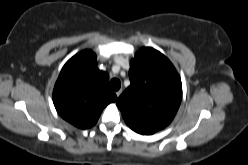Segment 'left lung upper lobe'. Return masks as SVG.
Masks as SVG:
<instances>
[{
    "mask_svg": "<svg viewBox=\"0 0 248 165\" xmlns=\"http://www.w3.org/2000/svg\"><path fill=\"white\" fill-rule=\"evenodd\" d=\"M130 86L116 104L135 132L151 135L173 120L182 99L181 79L159 51L143 47L130 63Z\"/></svg>",
    "mask_w": 248,
    "mask_h": 165,
    "instance_id": "1",
    "label": "left lung upper lobe"
}]
</instances>
